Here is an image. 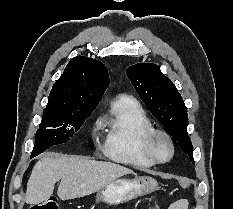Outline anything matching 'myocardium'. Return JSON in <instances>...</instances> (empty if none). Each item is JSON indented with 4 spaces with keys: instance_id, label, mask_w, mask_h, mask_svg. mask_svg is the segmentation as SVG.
<instances>
[{
    "instance_id": "f54148a6",
    "label": "myocardium",
    "mask_w": 233,
    "mask_h": 209,
    "mask_svg": "<svg viewBox=\"0 0 233 209\" xmlns=\"http://www.w3.org/2000/svg\"><path fill=\"white\" fill-rule=\"evenodd\" d=\"M159 139H164L169 145L170 153L167 158H161L156 151V143ZM144 147L148 156L156 163H166L170 161L175 152V145L171 135L162 129H152L145 138Z\"/></svg>"
}]
</instances>
